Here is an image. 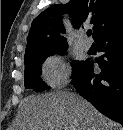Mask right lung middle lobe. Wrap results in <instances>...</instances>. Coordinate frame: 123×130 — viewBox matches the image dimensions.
Wrapping results in <instances>:
<instances>
[{"label": "right lung middle lobe", "instance_id": "dd1d6c3e", "mask_svg": "<svg viewBox=\"0 0 123 130\" xmlns=\"http://www.w3.org/2000/svg\"><path fill=\"white\" fill-rule=\"evenodd\" d=\"M67 48L50 52L31 55L25 58V88L34 89L39 92L49 87L40 79L41 75V64L43 61L54 53L65 51ZM84 65L83 61L73 62V76L82 68Z\"/></svg>", "mask_w": 123, "mask_h": 130}]
</instances>
